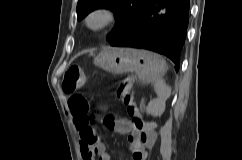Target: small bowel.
Listing matches in <instances>:
<instances>
[{
  "mask_svg": "<svg viewBox=\"0 0 242 160\" xmlns=\"http://www.w3.org/2000/svg\"><path fill=\"white\" fill-rule=\"evenodd\" d=\"M74 125L80 136V151L83 160H110L109 155L105 151L104 144L95 134L94 140H86L82 136L85 130L78 125L77 118L73 116ZM104 126L113 132L119 134H127L132 149V158L125 160H146L148 149L153 146L156 134L154 125L149 122L142 121L141 117L131 120L116 118L109 115L103 120ZM89 129V128H86Z\"/></svg>",
  "mask_w": 242,
  "mask_h": 160,
  "instance_id": "1",
  "label": "small bowel"
}]
</instances>
